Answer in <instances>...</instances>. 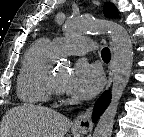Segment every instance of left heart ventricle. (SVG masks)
Returning <instances> with one entry per match:
<instances>
[{"label":"left heart ventricle","instance_id":"1","mask_svg":"<svg viewBox=\"0 0 144 137\" xmlns=\"http://www.w3.org/2000/svg\"><path fill=\"white\" fill-rule=\"evenodd\" d=\"M55 77L58 82L64 87V84L68 78V73L66 71H59L55 73Z\"/></svg>","mask_w":144,"mask_h":137}]
</instances>
